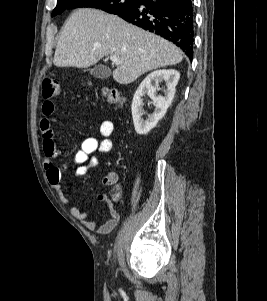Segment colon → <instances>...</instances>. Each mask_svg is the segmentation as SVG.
I'll list each match as a JSON object with an SVG mask.
<instances>
[{
    "label": "colon",
    "mask_w": 267,
    "mask_h": 301,
    "mask_svg": "<svg viewBox=\"0 0 267 301\" xmlns=\"http://www.w3.org/2000/svg\"><path fill=\"white\" fill-rule=\"evenodd\" d=\"M60 94V88L58 83L51 79L45 78L42 83V95L45 99H51ZM103 96L111 103L122 105L124 102L123 96L114 89H103ZM113 196L118 198L120 196V188L115 187L113 190Z\"/></svg>",
    "instance_id": "colon-1"
}]
</instances>
